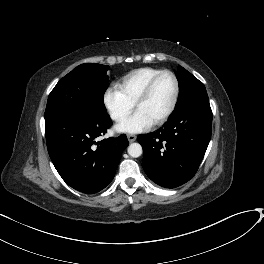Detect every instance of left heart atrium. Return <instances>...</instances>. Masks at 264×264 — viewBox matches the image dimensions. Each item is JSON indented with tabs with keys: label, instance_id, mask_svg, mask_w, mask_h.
Listing matches in <instances>:
<instances>
[{
	"label": "left heart atrium",
	"instance_id": "39dd6f15",
	"mask_svg": "<svg viewBox=\"0 0 264 264\" xmlns=\"http://www.w3.org/2000/svg\"><path fill=\"white\" fill-rule=\"evenodd\" d=\"M152 122L141 112L136 111L117 126L120 132L137 133L148 129Z\"/></svg>",
	"mask_w": 264,
	"mask_h": 264
}]
</instances>
